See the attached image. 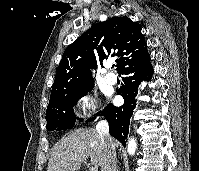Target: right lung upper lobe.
Segmentation results:
<instances>
[{"instance_id": "obj_1", "label": "right lung upper lobe", "mask_w": 199, "mask_h": 171, "mask_svg": "<svg viewBox=\"0 0 199 171\" xmlns=\"http://www.w3.org/2000/svg\"><path fill=\"white\" fill-rule=\"evenodd\" d=\"M148 55L140 24L128 17H114L97 23L64 51L52 86L49 105L73 95L94 83L90 69L102 65L108 57L117 56V70Z\"/></svg>"}]
</instances>
